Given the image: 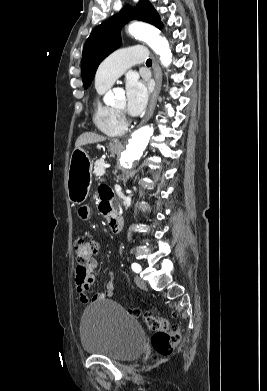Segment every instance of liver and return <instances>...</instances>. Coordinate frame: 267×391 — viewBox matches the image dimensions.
<instances>
[{
  "mask_svg": "<svg viewBox=\"0 0 267 391\" xmlns=\"http://www.w3.org/2000/svg\"><path fill=\"white\" fill-rule=\"evenodd\" d=\"M106 137L93 133V132H85L81 134L75 143V147L78 148L80 146L86 145V144H93L97 142L105 141Z\"/></svg>",
  "mask_w": 267,
  "mask_h": 391,
  "instance_id": "liver-1",
  "label": "liver"
}]
</instances>
